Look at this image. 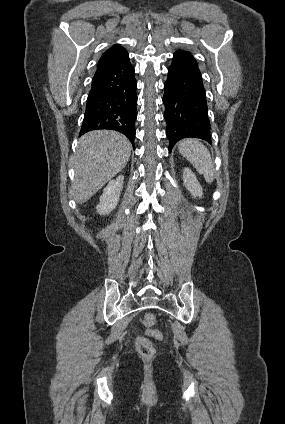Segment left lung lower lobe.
<instances>
[{"instance_id":"1","label":"left lung lower lobe","mask_w":285,"mask_h":424,"mask_svg":"<svg viewBox=\"0 0 285 424\" xmlns=\"http://www.w3.org/2000/svg\"><path fill=\"white\" fill-rule=\"evenodd\" d=\"M164 89L169 151L176 142L188 137L210 143L205 89L197 62L190 52L178 50L174 53Z\"/></svg>"}]
</instances>
